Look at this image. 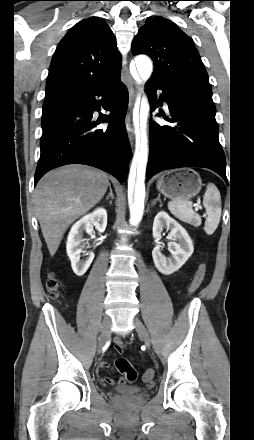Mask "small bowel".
<instances>
[{"label":"small bowel","instance_id":"obj_1","mask_svg":"<svg viewBox=\"0 0 254 440\" xmlns=\"http://www.w3.org/2000/svg\"><path fill=\"white\" fill-rule=\"evenodd\" d=\"M115 348H116L117 351H122L123 350V343L120 340H117L116 344H115ZM109 365H110L109 362L106 361V360H102L100 362V367L103 368V369L108 368ZM103 381L105 383H107V384H113L115 382V380L113 378H111V377H104ZM120 382H123V380H120Z\"/></svg>","mask_w":254,"mask_h":440}]
</instances>
